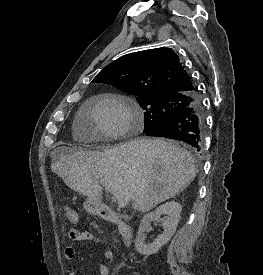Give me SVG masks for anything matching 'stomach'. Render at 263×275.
<instances>
[{"instance_id":"stomach-1","label":"stomach","mask_w":263,"mask_h":275,"mask_svg":"<svg viewBox=\"0 0 263 275\" xmlns=\"http://www.w3.org/2000/svg\"><path fill=\"white\" fill-rule=\"evenodd\" d=\"M85 210L93 215L100 214L102 204L98 199L88 198L84 203Z\"/></svg>"}]
</instances>
